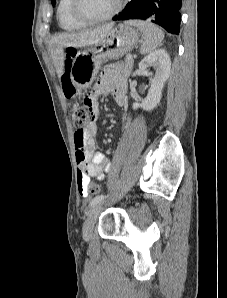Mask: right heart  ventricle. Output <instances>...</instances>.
Returning <instances> with one entry per match:
<instances>
[{"label": "right heart ventricle", "mask_w": 227, "mask_h": 298, "mask_svg": "<svg viewBox=\"0 0 227 298\" xmlns=\"http://www.w3.org/2000/svg\"><path fill=\"white\" fill-rule=\"evenodd\" d=\"M57 17L60 27L64 30H77L86 25L73 17L71 13V0H59Z\"/></svg>", "instance_id": "1"}]
</instances>
